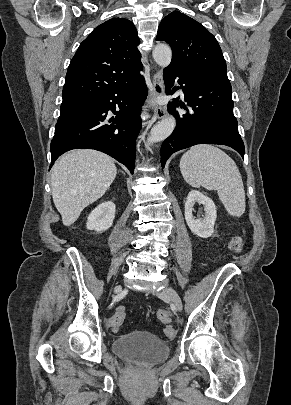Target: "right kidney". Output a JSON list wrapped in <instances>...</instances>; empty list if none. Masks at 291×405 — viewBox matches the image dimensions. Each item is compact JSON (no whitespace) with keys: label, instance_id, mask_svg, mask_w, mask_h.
Listing matches in <instances>:
<instances>
[{"label":"right kidney","instance_id":"obj_1","mask_svg":"<svg viewBox=\"0 0 291 405\" xmlns=\"http://www.w3.org/2000/svg\"><path fill=\"white\" fill-rule=\"evenodd\" d=\"M116 206L112 201L99 204L88 216L87 229L102 232L109 229L115 218Z\"/></svg>","mask_w":291,"mask_h":405}]
</instances>
